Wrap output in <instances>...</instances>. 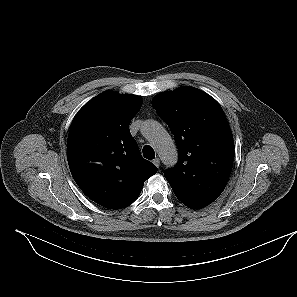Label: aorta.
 Instances as JSON below:
<instances>
[{
	"instance_id": "1",
	"label": "aorta",
	"mask_w": 297,
	"mask_h": 297,
	"mask_svg": "<svg viewBox=\"0 0 297 297\" xmlns=\"http://www.w3.org/2000/svg\"><path fill=\"white\" fill-rule=\"evenodd\" d=\"M141 131L156 149L165 165L172 166L177 163L178 153L175 143L160 123L146 120L141 126Z\"/></svg>"
}]
</instances>
